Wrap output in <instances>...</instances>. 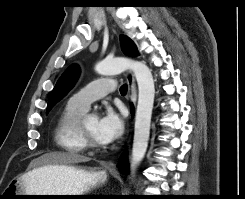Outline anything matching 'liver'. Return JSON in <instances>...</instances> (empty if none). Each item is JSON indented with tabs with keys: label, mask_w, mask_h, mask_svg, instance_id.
<instances>
[{
	"label": "liver",
	"mask_w": 245,
	"mask_h": 199,
	"mask_svg": "<svg viewBox=\"0 0 245 199\" xmlns=\"http://www.w3.org/2000/svg\"><path fill=\"white\" fill-rule=\"evenodd\" d=\"M90 158L75 154V153H67V152H53L49 154H45L38 159V168L43 166H65L72 165L75 163L87 162ZM37 169V168H35ZM34 169V170H35ZM28 172L27 174H30ZM26 175V174H25ZM24 175V176H25Z\"/></svg>",
	"instance_id": "1"
}]
</instances>
